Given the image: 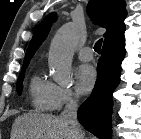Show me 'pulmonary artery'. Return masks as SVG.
<instances>
[{"instance_id":"e3ab8cb5","label":"pulmonary artery","mask_w":141,"mask_h":139,"mask_svg":"<svg viewBox=\"0 0 141 139\" xmlns=\"http://www.w3.org/2000/svg\"><path fill=\"white\" fill-rule=\"evenodd\" d=\"M78 58L81 61H91L93 59L92 49L89 47H84L78 52Z\"/></svg>"}]
</instances>
